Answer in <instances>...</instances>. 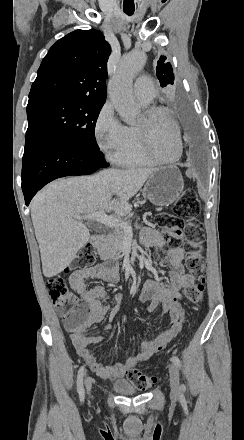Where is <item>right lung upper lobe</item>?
Segmentation results:
<instances>
[{
    "label": "right lung upper lobe",
    "instance_id": "cb5924a9",
    "mask_svg": "<svg viewBox=\"0 0 244 440\" xmlns=\"http://www.w3.org/2000/svg\"><path fill=\"white\" fill-rule=\"evenodd\" d=\"M111 48L98 30H76L58 40L44 57L29 100L106 99Z\"/></svg>",
    "mask_w": 244,
    "mask_h": 440
}]
</instances>
